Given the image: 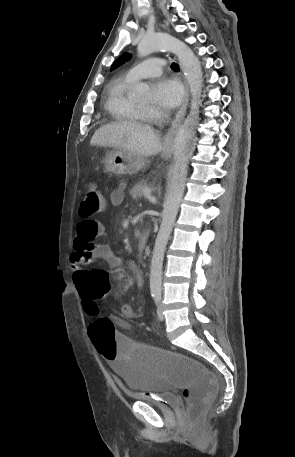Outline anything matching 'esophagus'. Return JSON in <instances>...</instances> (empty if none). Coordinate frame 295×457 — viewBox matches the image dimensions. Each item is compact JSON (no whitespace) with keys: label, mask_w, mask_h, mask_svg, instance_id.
Segmentation results:
<instances>
[{"label":"esophagus","mask_w":295,"mask_h":457,"mask_svg":"<svg viewBox=\"0 0 295 457\" xmlns=\"http://www.w3.org/2000/svg\"><path fill=\"white\" fill-rule=\"evenodd\" d=\"M184 86H185V97H184L183 104H182L180 110L177 112V114L172 122V126L165 137L163 151L166 153H169L172 151L173 144L175 141V136H176L177 131L186 114V109H187L188 100H189V88H188V84H187L186 80H184Z\"/></svg>","instance_id":"esophagus-1"}]
</instances>
